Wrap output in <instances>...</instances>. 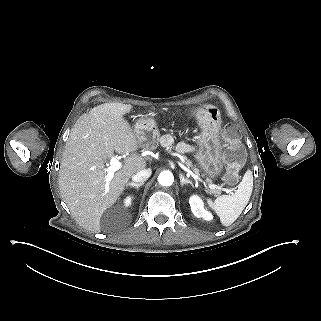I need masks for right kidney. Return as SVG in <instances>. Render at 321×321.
<instances>
[{"label": "right kidney", "mask_w": 321, "mask_h": 321, "mask_svg": "<svg viewBox=\"0 0 321 321\" xmlns=\"http://www.w3.org/2000/svg\"><path fill=\"white\" fill-rule=\"evenodd\" d=\"M130 203V198H128L126 201H125V204L128 205Z\"/></svg>", "instance_id": "1"}]
</instances>
